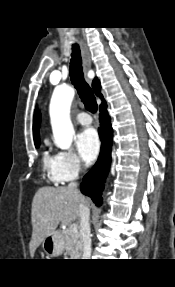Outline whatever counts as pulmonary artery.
Segmentation results:
<instances>
[{
	"mask_svg": "<svg viewBox=\"0 0 175 287\" xmlns=\"http://www.w3.org/2000/svg\"><path fill=\"white\" fill-rule=\"evenodd\" d=\"M77 122L82 125H90L92 123V118L89 114L81 112L76 116Z\"/></svg>",
	"mask_w": 175,
	"mask_h": 287,
	"instance_id": "1",
	"label": "pulmonary artery"
}]
</instances>
